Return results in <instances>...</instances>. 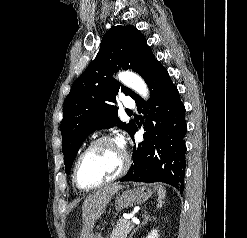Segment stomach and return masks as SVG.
I'll return each mask as SVG.
<instances>
[{
	"label": "stomach",
	"instance_id": "obj_1",
	"mask_svg": "<svg viewBox=\"0 0 247 238\" xmlns=\"http://www.w3.org/2000/svg\"><path fill=\"white\" fill-rule=\"evenodd\" d=\"M152 196V191L146 186H137L118 194L115 207L118 211L140 204ZM92 238H103L100 233H96Z\"/></svg>",
	"mask_w": 247,
	"mask_h": 238
}]
</instances>
